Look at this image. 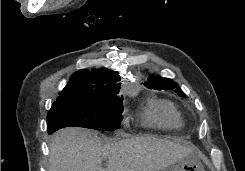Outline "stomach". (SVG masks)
<instances>
[{"mask_svg":"<svg viewBox=\"0 0 245 171\" xmlns=\"http://www.w3.org/2000/svg\"><path fill=\"white\" fill-rule=\"evenodd\" d=\"M160 171H168L167 169H161ZM171 171H205L204 165L200 161L199 157L190 155L181 159L177 165H175Z\"/></svg>","mask_w":245,"mask_h":171,"instance_id":"1","label":"stomach"}]
</instances>
